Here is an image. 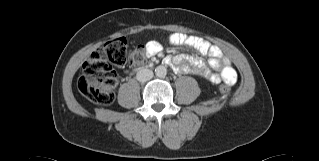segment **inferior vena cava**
<instances>
[{
    "label": "inferior vena cava",
    "instance_id": "1",
    "mask_svg": "<svg viewBox=\"0 0 319 161\" xmlns=\"http://www.w3.org/2000/svg\"><path fill=\"white\" fill-rule=\"evenodd\" d=\"M152 77H153V71L146 68L140 69L136 75L137 80L140 82L149 81L150 79H152Z\"/></svg>",
    "mask_w": 319,
    "mask_h": 161
}]
</instances>
